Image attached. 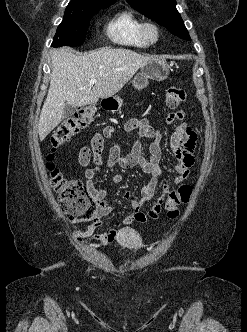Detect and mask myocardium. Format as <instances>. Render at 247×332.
Here are the masks:
<instances>
[{
	"mask_svg": "<svg viewBox=\"0 0 247 332\" xmlns=\"http://www.w3.org/2000/svg\"><path fill=\"white\" fill-rule=\"evenodd\" d=\"M140 33L142 38L148 44L156 43L160 38V29L159 27L153 22H144L141 25Z\"/></svg>",
	"mask_w": 247,
	"mask_h": 332,
	"instance_id": "obj_1",
	"label": "myocardium"
}]
</instances>
